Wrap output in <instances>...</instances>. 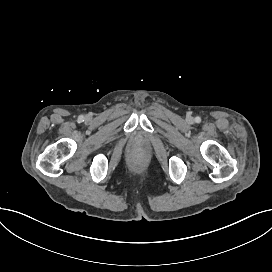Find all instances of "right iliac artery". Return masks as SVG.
<instances>
[{
    "label": "right iliac artery",
    "mask_w": 272,
    "mask_h": 272,
    "mask_svg": "<svg viewBox=\"0 0 272 272\" xmlns=\"http://www.w3.org/2000/svg\"><path fill=\"white\" fill-rule=\"evenodd\" d=\"M79 121H84V117L83 116H79Z\"/></svg>",
    "instance_id": "1"
}]
</instances>
